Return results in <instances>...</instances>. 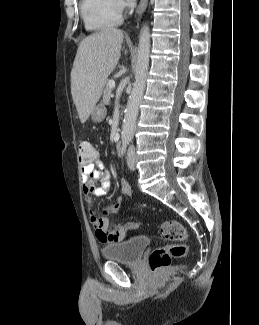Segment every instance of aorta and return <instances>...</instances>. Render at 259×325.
<instances>
[{
  "label": "aorta",
  "mask_w": 259,
  "mask_h": 325,
  "mask_svg": "<svg viewBox=\"0 0 259 325\" xmlns=\"http://www.w3.org/2000/svg\"><path fill=\"white\" fill-rule=\"evenodd\" d=\"M149 57L150 30L149 26L146 24L143 25L139 36L137 64L135 69V82L127 102L122 125V140L127 143L130 142L134 136L139 106L146 85V78L149 68Z\"/></svg>",
  "instance_id": "aorta-1"
}]
</instances>
